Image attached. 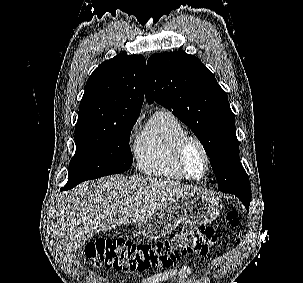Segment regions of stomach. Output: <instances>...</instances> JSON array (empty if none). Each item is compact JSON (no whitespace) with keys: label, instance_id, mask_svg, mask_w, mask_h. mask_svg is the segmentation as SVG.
Segmentation results:
<instances>
[{"label":"stomach","instance_id":"stomach-1","mask_svg":"<svg viewBox=\"0 0 303 283\" xmlns=\"http://www.w3.org/2000/svg\"><path fill=\"white\" fill-rule=\"evenodd\" d=\"M221 207L217 197L204 192L178 197L138 222L139 234L144 238L159 239L175 230L181 222L208 224L217 218Z\"/></svg>","mask_w":303,"mask_h":283}]
</instances>
